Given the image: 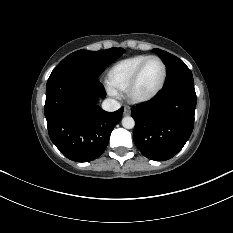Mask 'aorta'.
<instances>
[{"instance_id":"762f6f07","label":"aorta","mask_w":233,"mask_h":233,"mask_svg":"<svg viewBox=\"0 0 233 233\" xmlns=\"http://www.w3.org/2000/svg\"><path fill=\"white\" fill-rule=\"evenodd\" d=\"M135 121L131 116H126L122 119V126L126 129L134 128Z\"/></svg>"}]
</instances>
